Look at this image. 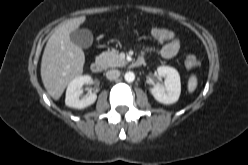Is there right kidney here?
Here are the masks:
<instances>
[{"instance_id":"1","label":"right kidney","mask_w":248,"mask_h":165,"mask_svg":"<svg viewBox=\"0 0 248 165\" xmlns=\"http://www.w3.org/2000/svg\"><path fill=\"white\" fill-rule=\"evenodd\" d=\"M91 81L92 79L89 75L78 76L74 78L68 84L66 90L65 104L68 107L76 109H83L93 104L97 99V95L95 93H90L88 96L80 99V95L83 92L82 86L84 84L90 83Z\"/></svg>"}]
</instances>
